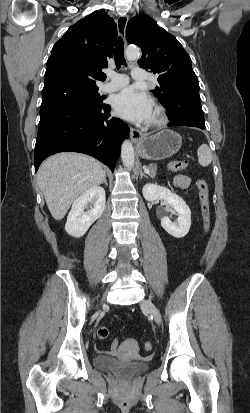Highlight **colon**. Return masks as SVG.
<instances>
[{"label":"colon","instance_id":"5ec220e1","mask_svg":"<svg viewBox=\"0 0 250 413\" xmlns=\"http://www.w3.org/2000/svg\"><path fill=\"white\" fill-rule=\"evenodd\" d=\"M188 163L186 160H177L170 162L168 164V169L171 171H181L186 169ZM197 188L199 190V197L201 203V210L203 216V225L206 232L210 229V207H209V194H208V186L204 180H198L196 182ZM109 334V331L106 327L101 326L97 329V335L99 338H106ZM119 336H114L111 342L109 343L110 352L114 349L118 348V343L120 342ZM146 351L152 350V344L150 342H146L144 345ZM113 349V350H112Z\"/></svg>","mask_w":250,"mask_h":413}]
</instances>
